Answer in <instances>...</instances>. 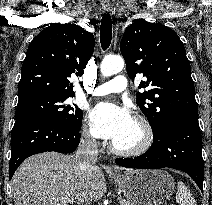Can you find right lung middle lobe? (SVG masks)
<instances>
[{
	"instance_id": "obj_1",
	"label": "right lung middle lobe",
	"mask_w": 212,
	"mask_h": 205,
	"mask_svg": "<svg viewBox=\"0 0 212 205\" xmlns=\"http://www.w3.org/2000/svg\"><path fill=\"white\" fill-rule=\"evenodd\" d=\"M73 96L37 93L21 97L16 110V120L29 116L54 118L65 125L80 129L83 113L75 104H68Z\"/></svg>"
}]
</instances>
